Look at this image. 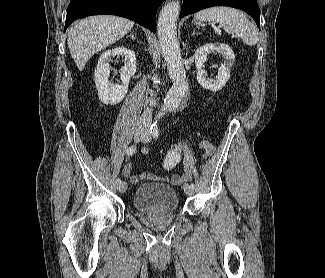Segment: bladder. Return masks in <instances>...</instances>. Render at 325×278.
Listing matches in <instances>:
<instances>
[{
  "instance_id": "1",
  "label": "bladder",
  "mask_w": 325,
  "mask_h": 278,
  "mask_svg": "<svg viewBox=\"0 0 325 278\" xmlns=\"http://www.w3.org/2000/svg\"><path fill=\"white\" fill-rule=\"evenodd\" d=\"M133 206L145 213H169L179 208V198L172 186L160 182H147L136 188Z\"/></svg>"
}]
</instances>
